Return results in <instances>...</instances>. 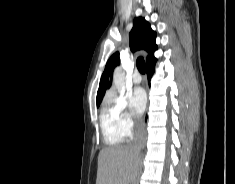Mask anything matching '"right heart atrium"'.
I'll list each match as a JSON object with an SVG mask.
<instances>
[{
    "instance_id": "right-heart-atrium-1",
    "label": "right heart atrium",
    "mask_w": 235,
    "mask_h": 184,
    "mask_svg": "<svg viewBox=\"0 0 235 184\" xmlns=\"http://www.w3.org/2000/svg\"><path fill=\"white\" fill-rule=\"evenodd\" d=\"M105 105L112 110L116 127L124 139H129L142 131V124L133 118L124 97L111 92L105 98Z\"/></svg>"
}]
</instances>
